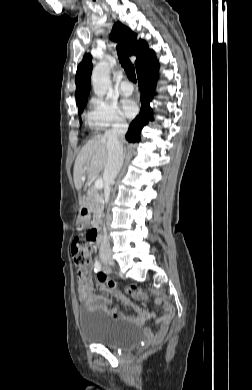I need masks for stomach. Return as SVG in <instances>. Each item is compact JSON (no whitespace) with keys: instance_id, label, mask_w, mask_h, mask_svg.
Wrapping results in <instances>:
<instances>
[{"instance_id":"1","label":"stomach","mask_w":252,"mask_h":390,"mask_svg":"<svg viewBox=\"0 0 252 390\" xmlns=\"http://www.w3.org/2000/svg\"><path fill=\"white\" fill-rule=\"evenodd\" d=\"M76 225H77L78 230H82L86 226V222H85L84 218H79L77 220Z\"/></svg>"}]
</instances>
